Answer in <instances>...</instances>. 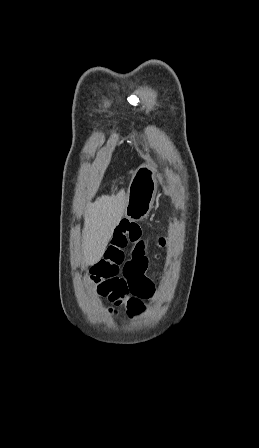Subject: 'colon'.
Listing matches in <instances>:
<instances>
[{
    "mask_svg": "<svg viewBox=\"0 0 259 448\" xmlns=\"http://www.w3.org/2000/svg\"><path fill=\"white\" fill-rule=\"evenodd\" d=\"M158 244H159V246H163V245H164V240H163V239H160L159 242H158Z\"/></svg>",
    "mask_w": 259,
    "mask_h": 448,
    "instance_id": "5ec220e1",
    "label": "colon"
}]
</instances>
